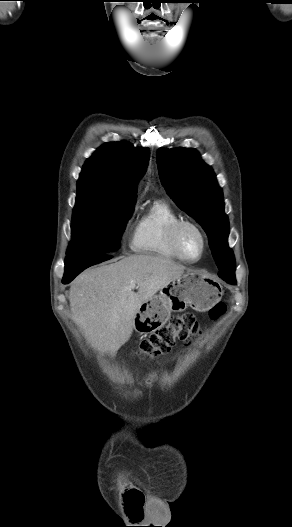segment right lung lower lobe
I'll list each match as a JSON object with an SVG mask.
<instances>
[{"label": "right lung lower lobe", "mask_w": 292, "mask_h": 527, "mask_svg": "<svg viewBox=\"0 0 292 527\" xmlns=\"http://www.w3.org/2000/svg\"><path fill=\"white\" fill-rule=\"evenodd\" d=\"M110 256L98 255L84 258H66L63 284L71 282L80 272L94 264L110 259Z\"/></svg>", "instance_id": "98d812e1"}]
</instances>
